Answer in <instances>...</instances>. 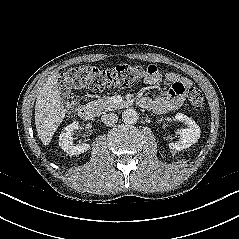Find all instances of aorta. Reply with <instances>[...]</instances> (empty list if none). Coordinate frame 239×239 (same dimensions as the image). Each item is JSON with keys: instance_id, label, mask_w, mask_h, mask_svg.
Segmentation results:
<instances>
[{"instance_id": "aorta-1", "label": "aorta", "mask_w": 239, "mask_h": 239, "mask_svg": "<svg viewBox=\"0 0 239 239\" xmlns=\"http://www.w3.org/2000/svg\"><path fill=\"white\" fill-rule=\"evenodd\" d=\"M139 115L135 109L128 108L122 112V121L126 124H135Z\"/></svg>"}]
</instances>
